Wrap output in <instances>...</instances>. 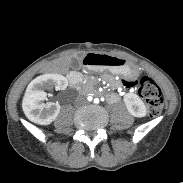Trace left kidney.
<instances>
[{"label": "left kidney", "mask_w": 183, "mask_h": 183, "mask_svg": "<svg viewBox=\"0 0 183 183\" xmlns=\"http://www.w3.org/2000/svg\"><path fill=\"white\" fill-rule=\"evenodd\" d=\"M124 103L129 113L137 118L145 117L147 109L144 102L134 93H128L124 96Z\"/></svg>", "instance_id": "left-kidney-1"}]
</instances>
